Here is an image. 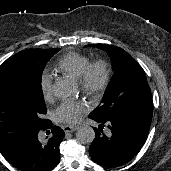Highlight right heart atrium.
<instances>
[{"mask_svg":"<svg viewBox=\"0 0 171 171\" xmlns=\"http://www.w3.org/2000/svg\"><path fill=\"white\" fill-rule=\"evenodd\" d=\"M40 90L45 100L49 101L52 99V95H53L52 76L47 71H44L40 77Z\"/></svg>","mask_w":171,"mask_h":171,"instance_id":"1","label":"right heart atrium"}]
</instances>
